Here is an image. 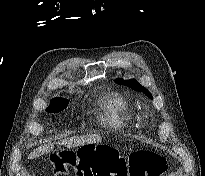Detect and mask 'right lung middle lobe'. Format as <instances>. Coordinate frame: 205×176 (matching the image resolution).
Segmentation results:
<instances>
[{
    "mask_svg": "<svg viewBox=\"0 0 205 176\" xmlns=\"http://www.w3.org/2000/svg\"><path fill=\"white\" fill-rule=\"evenodd\" d=\"M68 100L63 99V98H53L51 100L50 106L46 109L47 112L50 113H57L65 109L68 105Z\"/></svg>",
    "mask_w": 205,
    "mask_h": 176,
    "instance_id": "obj_1",
    "label": "right lung middle lobe"
}]
</instances>
